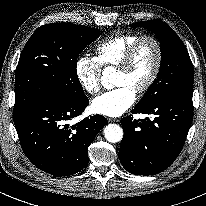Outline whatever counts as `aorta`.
Wrapping results in <instances>:
<instances>
[{"instance_id": "762f6f07", "label": "aorta", "mask_w": 206, "mask_h": 206, "mask_svg": "<svg viewBox=\"0 0 206 206\" xmlns=\"http://www.w3.org/2000/svg\"><path fill=\"white\" fill-rule=\"evenodd\" d=\"M111 73L108 70H105L101 79V83L104 87H107L110 81ZM104 136L107 141L111 143H117L122 140L123 138V130L117 124H108L104 128Z\"/></svg>"}]
</instances>
